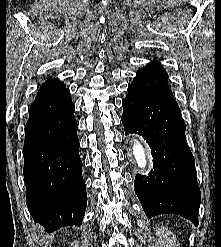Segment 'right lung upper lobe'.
<instances>
[{"label": "right lung upper lobe", "instance_id": "1", "mask_svg": "<svg viewBox=\"0 0 221 247\" xmlns=\"http://www.w3.org/2000/svg\"><path fill=\"white\" fill-rule=\"evenodd\" d=\"M65 89V85L61 81L57 79H48L41 85L35 98V101L51 96Z\"/></svg>", "mask_w": 221, "mask_h": 247}]
</instances>
